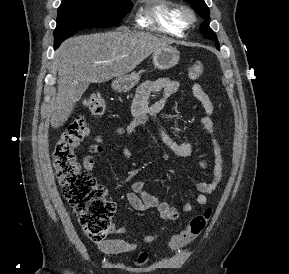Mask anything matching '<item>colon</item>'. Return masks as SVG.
<instances>
[{
  "label": "colon",
  "mask_w": 289,
  "mask_h": 274,
  "mask_svg": "<svg viewBox=\"0 0 289 274\" xmlns=\"http://www.w3.org/2000/svg\"><path fill=\"white\" fill-rule=\"evenodd\" d=\"M203 71L204 65L199 60H193L188 67L191 79H197ZM84 105L95 116L102 115L106 108L104 98L97 93L87 97ZM89 132L90 127L84 117L74 118L54 146L53 162L64 198L76 212L83 231L89 239L100 242L111 230L115 204L106 198L105 187L83 170L77 161L75 149ZM211 215L212 210L208 208L193 217L187 228L172 238L170 248L178 250L195 240L206 228ZM138 260L144 262L146 254L142 253Z\"/></svg>",
  "instance_id": "colon-1"
}]
</instances>
